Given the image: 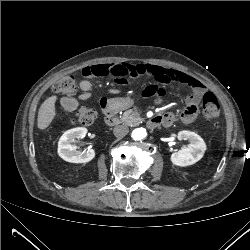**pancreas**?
Here are the masks:
<instances>
[{"label":"pancreas","instance_id":"obj_1","mask_svg":"<svg viewBox=\"0 0 250 250\" xmlns=\"http://www.w3.org/2000/svg\"><path fill=\"white\" fill-rule=\"evenodd\" d=\"M136 115H138L137 110L131 109L127 112V114L124 117L121 118V121L131 125L134 123Z\"/></svg>","mask_w":250,"mask_h":250}]
</instances>
